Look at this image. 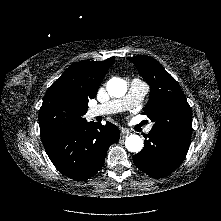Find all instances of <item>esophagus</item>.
<instances>
[{"label":"esophagus","instance_id":"esophagus-1","mask_svg":"<svg viewBox=\"0 0 221 221\" xmlns=\"http://www.w3.org/2000/svg\"><path fill=\"white\" fill-rule=\"evenodd\" d=\"M129 134H130V132H129L128 130H126V129H122V130H121V136H122V138L127 137Z\"/></svg>","mask_w":221,"mask_h":221}]
</instances>
